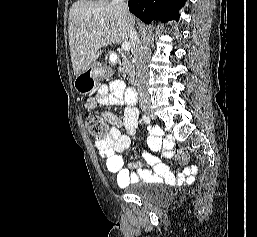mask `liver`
Listing matches in <instances>:
<instances>
[{"label":"liver","instance_id":"1","mask_svg":"<svg viewBox=\"0 0 257 237\" xmlns=\"http://www.w3.org/2000/svg\"><path fill=\"white\" fill-rule=\"evenodd\" d=\"M135 18L112 3L78 0L69 11L68 34L74 75L84 72L102 54L101 48L130 37ZM96 31V33H93Z\"/></svg>","mask_w":257,"mask_h":237}]
</instances>
